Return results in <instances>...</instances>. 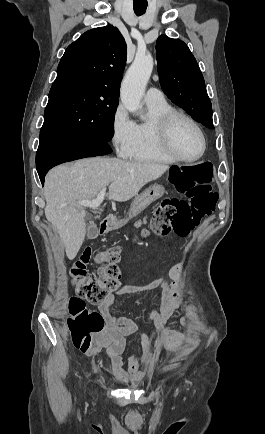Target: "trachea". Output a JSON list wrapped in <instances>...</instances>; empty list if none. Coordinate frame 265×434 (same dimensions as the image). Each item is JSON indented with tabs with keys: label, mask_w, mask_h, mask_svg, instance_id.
Wrapping results in <instances>:
<instances>
[{
	"label": "trachea",
	"mask_w": 265,
	"mask_h": 434,
	"mask_svg": "<svg viewBox=\"0 0 265 434\" xmlns=\"http://www.w3.org/2000/svg\"><path fill=\"white\" fill-rule=\"evenodd\" d=\"M133 8L136 15H143L147 9V3H133Z\"/></svg>",
	"instance_id": "3493384b"
}]
</instances>
